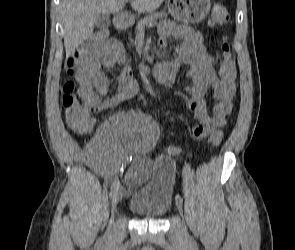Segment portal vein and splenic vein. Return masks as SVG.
<instances>
[{
  "label": "portal vein and splenic vein",
  "mask_w": 295,
  "mask_h": 250,
  "mask_svg": "<svg viewBox=\"0 0 295 250\" xmlns=\"http://www.w3.org/2000/svg\"><path fill=\"white\" fill-rule=\"evenodd\" d=\"M128 1H132V0H128ZM150 26H154V24H150Z\"/></svg>",
  "instance_id": "obj_1"
}]
</instances>
